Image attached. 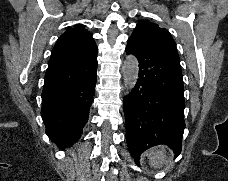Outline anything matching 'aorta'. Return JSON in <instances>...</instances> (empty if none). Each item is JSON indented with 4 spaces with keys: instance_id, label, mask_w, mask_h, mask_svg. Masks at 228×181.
Wrapping results in <instances>:
<instances>
[{
    "instance_id": "762f6f07",
    "label": "aorta",
    "mask_w": 228,
    "mask_h": 181,
    "mask_svg": "<svg viewBox=\"0 0 228 181\" xmlns=\"http://www.w3.org/2000/svg\"><path fill=\"white\" fill-rule=\"evenodd\" d=\"M122 73L124 86L130 92L135 87L139 73V63L134 55L126 56L122 66Z\"/></svg>"
}]
</instances>
